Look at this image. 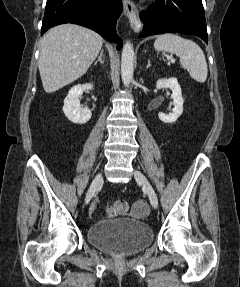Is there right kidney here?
<instances>
[{
    "mask_svg": "<svg viewBox=\"0 0 240 287\" xmlns=\"http://www.w3.org/2000/svg\"><path fill=\"white\" fill-rule=\"evenodd\" d=\"M86 89L92 90L93 85H76L72 87L64 99L63 112L72 123L84 124L91 119L92 112L89 108H81L79 97Z\"/></svg>",
    "mask_w": 240,
    "mask_h": 287,
    "instance_id": "obj_1",
    "label": "right kidney"
}]
</instances>
